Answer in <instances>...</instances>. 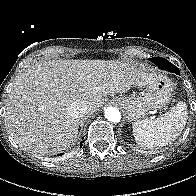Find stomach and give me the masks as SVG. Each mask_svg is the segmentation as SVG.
<instances>
[{"label":"stomach","mask_w":196,"mask_h":196,"mask_svg":"<svg viewBox=\"0 0 196 196\" xmlns=\"http://www.w3.org/2000/svg\"><path fill=\"white\" fill-rule=\"evenodd\" d=\"M136 70L134 86L145 91L137 97L121 95L111 99L125 110L129 121L145 118L151 110L165 108L173 95V84L169 78L144 72L141 67H136Z\"/></svg>","instance_id":"0dacf381"}]
</instances>
